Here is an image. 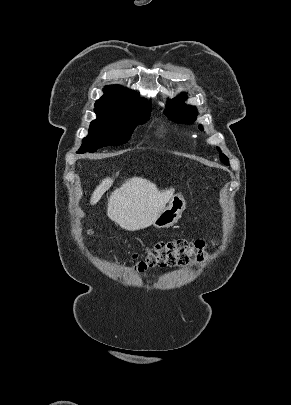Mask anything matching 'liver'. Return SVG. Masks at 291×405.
<instances>
[{"instance_id":"liver-1","label":"liver","mask_w":291,"mask_h":405,"mask_svg":"<svg viewBox=\"0 0 291 405\" xmlns=\"http://www.w3.org/2000/svg\"><path fill=\"white\" fill-rule=\"evenodd\" d=\"M112 180L106 178L96 187L91 204H96L110 188ZM174 188L159 191L147 179L132 177L116 188L108 199L107 215L121 228L138 231L152 225L173 196Z\"/></svg>"}]
</instances>
